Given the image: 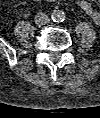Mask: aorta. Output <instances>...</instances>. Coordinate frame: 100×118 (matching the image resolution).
<instances>
[{"mask_svg":"<svg viewBox=\"0 0 100 118\" xmlns=\"http://www.w3.org/2000/svg\"><path fill=\"white\" fill-rule=\"evenodd\" d=\"M51 18L54 22H62L65 19V13L61 10H54L51 14Z\"/></svg>","mask_w":100,"mask_h":118,"instance_id":"obj_1","label":"aorta"}]
</instances>
